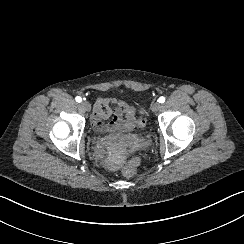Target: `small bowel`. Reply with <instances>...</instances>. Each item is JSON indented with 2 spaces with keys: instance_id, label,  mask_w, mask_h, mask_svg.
<instances>
[{
  "instance_id": "obj_1",
  "label": "small bowel",
  "mask_w": 244,
  "mask_h": 244,
  "mask_svg": "<svg viewBox=\"0 0 244 244\" xmlns=\"http://www.w3.org/2000/svg\"><path fill=\"white\" fill-rule=\"evenodd\" d=\"M93 123L101 130L128 131L136 124L135 111L125 101L116 98H98L93 108Z\"/></svg>"
}]
</instances>
